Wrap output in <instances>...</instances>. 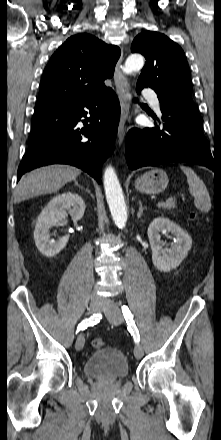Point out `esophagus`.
I'll use <instances>...</instances> for the list:
<instances>
[{
	"label": "esophagus",
	"mask_w": 221,
	"mask_h": 440,
	"mask_svg": "<svg viewBox=\"0 0 221 440\" xmlns=\"http://www.w3.org/2000/svg\"><path fill=\"white\" fill-rule=\"evenodd\" d=\"M123 61V52L117 62L115 73H114V83L116 86V92L118 94L120 105H121V115L118 126V142L119 145L122 144L125 132H126V121L129 116L131 97L129 92V84L121 70V65Z\"/></svg>",
	"instance_id": "1"
}]
</instances>
